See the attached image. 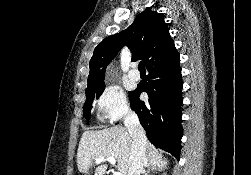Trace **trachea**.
I'll return each mask as SVG.
<instances>
[{
    "label": "trachea",
    "instance_id": "3493384b",
    "mask_svg": "<svg viewBox=\"0 0 251 175\" xmlns=\"http://www.w3.org/2000/svg\"><path fill=\"white\" fill-rule=\"evenodd\" d=\"M138 69H139L140 71H145V66H144V62H143V61H141V62L139 63Z\"/></svg>",
    "mask_w": 251,
    "mask_h": 175
}]
</instances>
